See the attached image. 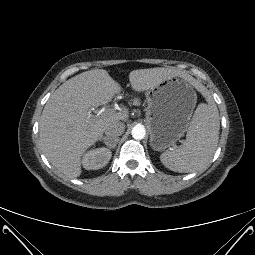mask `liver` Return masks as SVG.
Masks as SVG:
<instances>
[{
  "label": "liver",
  "instance_id": "obj_1",
  "mask_svg": "<svg viewBox=\"0 0 255 255\" xmlns=\"http://www.w3.org/2000/svg\"><path fill=\"white\" fill-rule=\"evenodd\" d=\"M179 76L199 88L187 73L173 68H149L129 73L131 87L145 91L164 80ZM121 91L120 85L104 69L83 72L64 82L47 101L39 123L44 154L68 178L81 175L84 152L101 139L106 127L128 120V111L94 116L90 108L110 102Z\"/></svg>",
  "mask_w": 255,
  "mask_h": 255
}]
</instances>
